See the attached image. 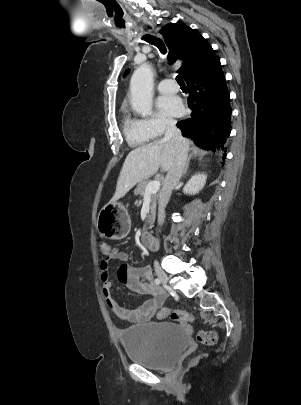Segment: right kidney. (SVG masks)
I'll list each match as a JSON object with an SVG mask.
<instances>
[{"instance_id":"obj_1","label":"right kidney","mask_w":301,"mask_h":405,"mask_svg":"<svg viewBox=\"0 0 301 405\" xmlns=\"http://www.w3.org/2000/svg\"><path fill=\"white\" fill-rule=\"evenodd\" d=\"M207 175L204 173H198L193 175L185 185L183 192L185 194H197L205 185Z\"/></svg>"}]
</instances>
